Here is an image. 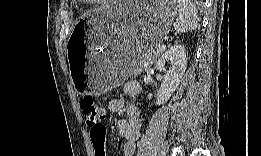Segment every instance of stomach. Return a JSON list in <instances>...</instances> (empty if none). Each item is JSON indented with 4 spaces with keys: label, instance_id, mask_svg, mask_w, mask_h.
<instances>
[{
    "label": "stomach",
    "instance_id": "stomach-1",
    "mask_svg": "<svg viewBox=\"0 0 261 156\" xmlns=\"http://www.w3.org/2000/svg\"><path fill=\"white\" fill-rule=\"evenodd\" d=\"M176 8L167 2H109L89 11L70 35V78L80 95H97L123 82L147 52L164 40ZM80 38L82 55L75 40Z\"/></svg>",
    "mask_w": 261,
    "mask_h": 156
}]
</instances>
